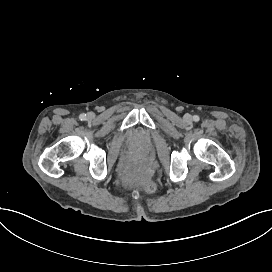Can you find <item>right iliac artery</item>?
<instances>
[{"instance_id":"right-iliac-artery-1","label":"right iliac artery","mask_w":272,"mask_h":272,"mask_svg":"<svg viewBox=\"0 0 272 272\" xmlns=\"http://www.w3.org/2000/svg\"><path fill=\"white\" fill-rule=\"evenodd\" d=\"M79 119L81 120V121H84L85 119H86V114H81L80 116H79Z\"/></svg>"}]
</instances>
